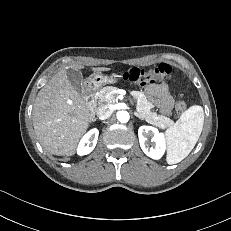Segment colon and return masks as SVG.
<instances>
[{
    "mask_svg": "<svg viewBox=\"0 0 231 231\" xmlns=\"http://www.w3.org/2000/svg\"><path fill=\"white\" fill-rule=\"evenodd\" d=\"M123 80L129 81L139 86L152 84L159 79L171 78V67L168 64H160L152 68H131L121 74ZM187 108L184 100H177L175 111L182 114Z\"/></svg>",
    "mask_w": 231,
    "mask_h": 231,
    "instance_id": "colon-1",
    "label": "colon"
}]
</instances>
